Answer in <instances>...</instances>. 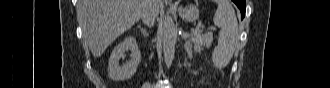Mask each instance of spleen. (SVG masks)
I'll list each match as a JSON object with an SVG mask.
<instances>
[{"instance_id":"1","label":"spleen","mask_w":330,"mask_h":88,"mask_svg":"<svg viewBox=\"0 0 330 88\" xmlns=\"http://www.w3.org/2000/svg\"><path fill=\"white\" fill-rule=\"evenodd\" d=\"M218 7L213 22L220 28L218 45L212 53L217 68H224L230 62L239 41L238 22L229 0H215Z\"/></svg>"}]
</instances>
